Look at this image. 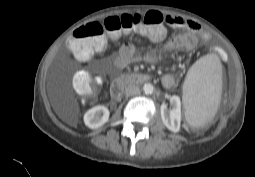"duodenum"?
I'll use <instances>...</instances> for the list:
<instances>
[{
    "label": "duodenum",
    "mask_w": 255,
    "mask_h": 177,
    "mask_svg": "<svg viewBox=\"0 0 255 177\" xmlns=\"http://www.w3.org/2000/svg\"><path fill=\"white\" fill-rule=\"evenodd\" d=\"M150 76L144 73H130L118 76L111 84V93L119 99L125 86L129 84H142L150 80Z\"/></svg>",
    "instance_id": "1"
}]
</instances>
